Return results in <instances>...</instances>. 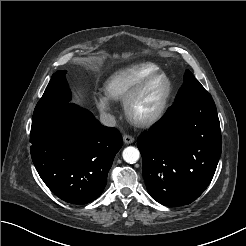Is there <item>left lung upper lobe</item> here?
<instances>
[{"label":"left lung upper lobe","instance_id":"obj_1","mask_svg":"<svg viewBox=\"0 0 246 246\" xmlns=\"http://www.w3.org/2000/svg\"><path fill=\"white\" fill-rule=\"evenodd\" d=\"M206 93L208 92L204 89L200 82L193 76V74L189 70H186L184 75V83L178 91L175 103H178L183 99L189 97L203 95Z\"/></svg>","mask_w":246,"mask_h":246}]
</instances>
